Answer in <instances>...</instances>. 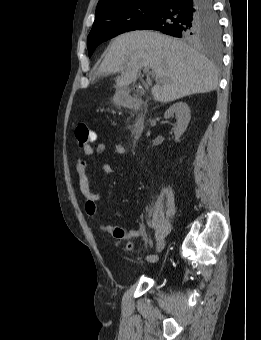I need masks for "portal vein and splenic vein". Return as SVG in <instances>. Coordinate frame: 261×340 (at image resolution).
Returning a JSON list of instances; mask_svg holds the SVG:
<instances>
[{
    "label": "portal vein and splenic vein",
    "instance_id": "18ae733b",
    "mask_svg": "<svg viewBox=\"0 0 261 340\" xmlns=\"http://www.w3.org/2000/svg\"><path fill=\"white\" fill-rule=\"evenodd\" d=\"M149 70H150V69H149V67H145V68H144V72H146V73H148V72H149ZM154 74H155V73H154V72H152V75H154Z\"/></svg>",
    "mask_w": 261,
    "mask_h": 340
}]
</instances>
